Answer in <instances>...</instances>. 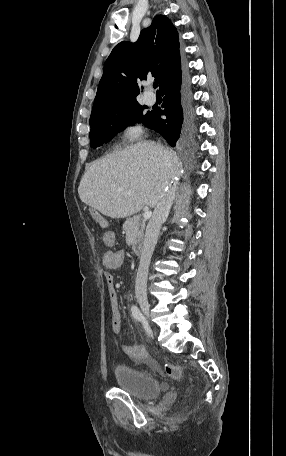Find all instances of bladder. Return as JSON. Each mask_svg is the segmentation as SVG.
I'll list each match as a JSON object with an SVG mask.
<instances>
[{
  "label": "bladder",
  "mask_w": 286,
  "mask_h": 456,
  "mask_svg": "<svg viewBox=\"0 0 286 456\" xmlns=\"http://www.w3.org/2000/svg\"><path fill=\"white\" fill-rule=\"evenodd\" d=\"M115 378L118 388L140 399L156 397L163 391L155 377L125 364L116 366Z\"/></svg>",
  "instance_id": "obj_1"
}]
</instances>
